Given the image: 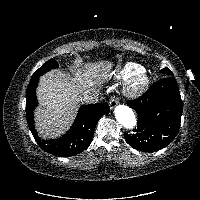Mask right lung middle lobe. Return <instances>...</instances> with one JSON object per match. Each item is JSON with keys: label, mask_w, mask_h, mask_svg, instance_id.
<instances>
[{"label": "right lung middle lobe", "mask_w": 200, "mask_h": 200, "mask_svg": "<svg viewBox=\"0 0 200 200\" xmlns=\"http://www.w3.org/2000/svg\"><path fill=\"white\" fill-rule=\"evenodd\" d=\"M58 63L54 59H50L48 62H46L43 66H41L33 75L31 80L35 78H39L42 76L44 73L50 71L53 68H57Z\"/></svg>", "instance_id": "right-lung-middle-lobe-1"}]
</instances>
